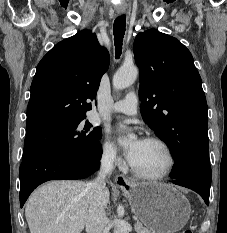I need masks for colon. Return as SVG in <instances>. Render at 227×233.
Instances as JSON below:
<instances>
[{
    "label": "colon",
    "mask_w": 227,
    "mask_h": 233,
    "mask_svg": "<svg viewBox=\"0 0 227 233\" xmlns=\"http://www.w3.org/2000/svg\"><path fill=\"white\" fill-rule=\"evenodd\" d=\"M180 233H193L191 229H183Z\"/></svg>",
    "instance_id": "1"
}]
</instances>
